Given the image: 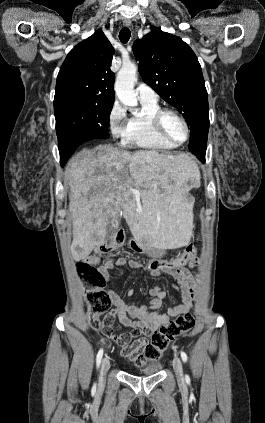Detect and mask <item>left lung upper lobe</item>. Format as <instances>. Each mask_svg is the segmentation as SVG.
Here are the masks:
<instances>
[{"instance_id": "obj_1", "label": "left lung upper lobe", "mask_w": 265, "mask_h": 423, "mask_svg": "<svg viewBox=\"0 0 265 423\" xmlns=\"http://www.w3.org/2000/svg\"><path fill=\"white\" fill-rule=\"evenodd\" d=\"M143 81L183 113L190 126L189 149L203 160L209 130L208 95L201 66L179 37L152 27L133 44Z\"/></svg>"}]
</instances>
